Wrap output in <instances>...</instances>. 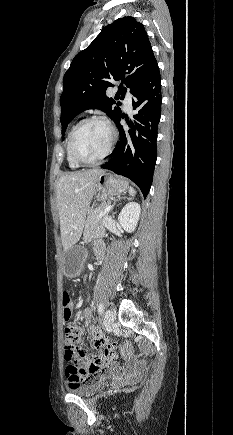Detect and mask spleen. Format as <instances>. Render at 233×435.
Returning <instances> with one entry per match:
<instances>
[{"instance_id": "1", "label": "spleen", "mask_w": 233, "mask_h": 435, "mask_svg": "<svg viewBox=\"0 0 233 435\" xmlns=\"http://www.w3.org/2000/svg\"><path fill=\"white\" fill-rule=\"evenodd\" d=\"M129 194L131 196H134L136 194V190L133 187H131V186L129 187Z\"/></svg>"}]
</instances>
